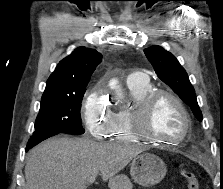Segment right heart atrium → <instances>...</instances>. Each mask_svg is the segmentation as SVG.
I'll return each instance as SVG.
<instances>
[{
    "instance_id": "obj_1",
    "label": "right heart atrium",
    "mask_w": 223,
    "mask_h": 189,
    "mask_svg": "<svg viewBox=\"0 0 223 189\" xmlns=\"http://www.w3.org/2000/svg\"><path fill=\"white\" fill-rule=\"evenodd\" d=\"M112 113L102 89L93 88L82 104L83 120L88 132L95 138L106 137L111 126Z\"/></svg>"
}]
</instances>
